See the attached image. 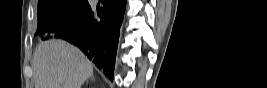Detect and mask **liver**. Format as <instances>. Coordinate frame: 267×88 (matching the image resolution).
<instances>
[{"instance_id": "liver-1", "label": "liver", "mask_w": 267, "mask_h": 88, "mask_svg": "<svg viewBox=\"0 0 267 88\" xmlns=\"http://www.w3.org/2000/svg\"><path fill=\"white\" fill-rule=\"evenodd\" d=\"M32 67L35 88H81L93 73L91 62L77 47L57 39L36 47Z\"/></svg>"}]
</instances>
